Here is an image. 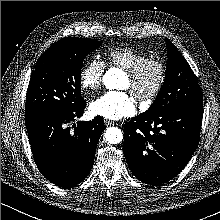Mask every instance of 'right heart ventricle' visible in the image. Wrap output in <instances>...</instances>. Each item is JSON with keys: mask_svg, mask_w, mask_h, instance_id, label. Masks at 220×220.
Wrapping results in <instances>:
<instances>
[{"mask_svg": "<svg viewBox=\"0 0 220 220\" xmlns=\"http://www.w3.org/2000/svg\"><path fill=\"white\" fill-rule=\"evenodd\" d=\"M105 57L110 66L130 70L149 58V55L130 47H121L107 51Z\"/></svg>", "mask_w": 220, "mask_h": 220, "instance_id": "obj_1", "label": "right heart ventricle"}]
</instances>
